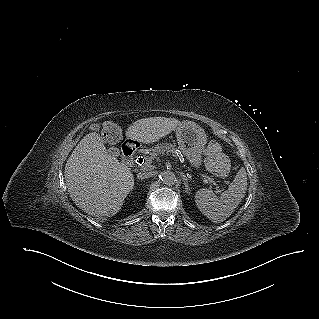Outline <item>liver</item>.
Returning <instances> with one entry per match:
<instances>
[{"label": "liver", "mask_w": 319, "mask_h": 319, "mask_svg": "<svg viewBox=\"0 0 319 319\" xmlns=\"http://www.w3.org/2000/svg\"><path fill=\"white\" fill-rule=\"evenodd\" d=\"M182 124L175 118L150 117L131 124L125 135L149 144ZM64 175L74 203L95 217L117 214L134 186V177L128 166L108 153L96 132L87 134L77 144L67 160Z\"/></svg>", "instance_id": "obj_1"}]
</instances>
